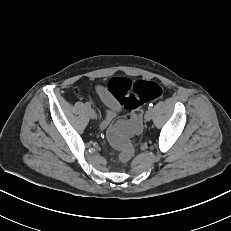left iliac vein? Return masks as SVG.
Here are the masks:
<instances>
[{"mask_svg": "<svg viewBox=\"0 0 231 231\" xmlns=\"http://www.w3.org/2000/svg\"><path fill=\"white\" fill-rule=\"evenodd\" d=\"M144 119L146 121H150L152 119V111L150 109H148L144 115Z\"/></svg>", "mask_w": 231, "mask_h": 231, "instance_id": "obj_1", "label": "left iliac vein"}]
</instances>
